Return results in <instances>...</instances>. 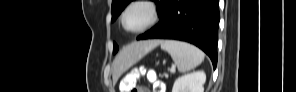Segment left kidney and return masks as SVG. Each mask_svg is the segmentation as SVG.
Here are the masks:
<instances>
[{"label":"left kidney","mask_w":296,"mask_h":92,"mask_svg":"<svg viewBox=\"0 0 296 92\" xmlns=\"http://www.w3.org/2000/svg\"><path fill=\"white\" fill-rule=\"evenodd\" d=\"M205 82L204 71H194L176 79L172 92H204Z\"/></svg>","instance_id":"obj_1"}]
</instances>
